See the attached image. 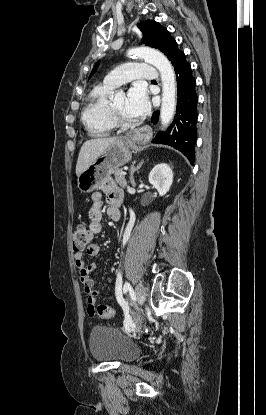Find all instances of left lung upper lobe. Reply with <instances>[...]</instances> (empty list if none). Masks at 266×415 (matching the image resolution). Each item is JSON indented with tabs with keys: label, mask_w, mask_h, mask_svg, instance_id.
Returning <instances> with one entry per match:
<instances>
[{
	"label": "left lung upper lobe",
	"mask_w": 266,
	"mask_h": 415,
	"mask_svg": "<svg viewBox=\"0 0 266 415\" xmlns=\"http://www.w3.org/2000/svg\"><path fill=\"white\" fill-rule=\"evenodd\" d=\"M138 28L143 33L142 42L150 47H154L162 51L167 58L174 64L176 58L182 53L178 49L177 43L167 31L158 22L153 20H145L138 24ZM99 62H97L90 74V77L97 70Z\"/></svg>",
	"instance_id": "left-lung-upper-lobe-1"
}]
</instances>
